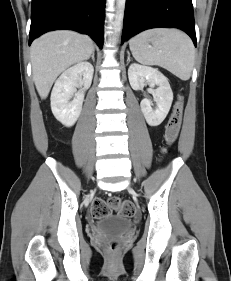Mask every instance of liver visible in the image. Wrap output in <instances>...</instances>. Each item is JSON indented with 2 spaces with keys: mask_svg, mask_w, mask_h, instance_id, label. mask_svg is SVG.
Here are the masks:
<instances>
[{
  "mask_svg": "<svg viewBox=\"0 0 231 281\" xmlns=\"http://www.w3.org/2000/svg\"><path fill=\"white\" fill-rule=\"evenodd\" d=\"M94 51L87 35L74 31H53L34 40L31 45L33 80L45 99L58 75L69 66L87 60Z\"/></svg>",
  "mask_w": 231,
  "mask_h": 281,
  "instance_id": "liver-1",
  "label": "liver"
}]
</instances>
